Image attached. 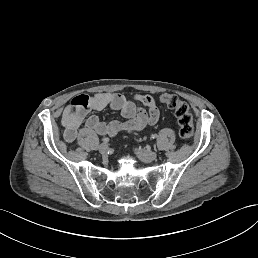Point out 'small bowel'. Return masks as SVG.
<instances>
[{
    "label": "small bowel",
    "mask_w": 258,
    "mask_h": 258,
    "mask_svg": "<svg viewBox=\"0 0 258 258\" xmlns=\"http://www.w3.org/2000/svg\"><path fill=\"white\" fill-rule=\"evenodd\" d=\"M110 108L119 111L124 121L103 122L92 114ZM160 117L156 100L150 95H134L128 99L119 93L100 92L92 95L80 94L72 98L61 116L63 137L71 143L84 124V130L97 135L117 136L120 133H133L146 126L155 125Z\"/></svg>",
    "instance_id": "c3829d8e"
}]
</instances>
